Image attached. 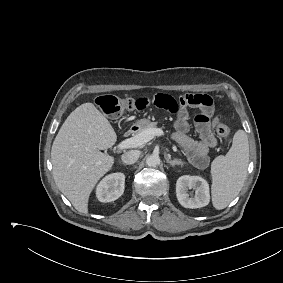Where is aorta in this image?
Wrapping results in <instances>:
<instances>
[{
    "mask_svg": "<svg viewBox=\"0 0 283 283\" xmlns=\"http://www.w3.org/2000/svg\"><path fill=\"white\" fill-rule=\"evenodd\" d=\"M146 164L150 167H156L160 164V157L152 154L146 158Z\"/></svg>",
    "mask_w": 283,
    "mask_h": 283,
    "instance_id": "762f6f07",
    "label": "aorta"
}]
</instances>
